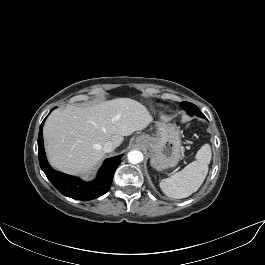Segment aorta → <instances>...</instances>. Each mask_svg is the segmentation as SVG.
<instances>
[{"label":"aorta","mask_w":265,"mask_h":265,"mask_svg":"<svg viewBox=\"0 0 265 265\" xmlns=\"http://www.w3.org/2000/svg\"><path fill=\"white\" fill-rule=\"evenodd\" d=\"M127 157H128V161L132 164L140 163L144 159L143 153L138 150L130 151Z\"/></svg>","instance_id":"1"}]
</instances>
